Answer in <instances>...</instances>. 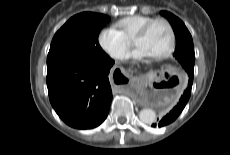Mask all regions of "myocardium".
Here are the masks:
<instances>
[{
    "label": "myocardium",
    "instance_id": "f54148a6",
    "mask_svg": "<svg viewBox=\"0 0 230 155\" xmlns=\"http://www.w3.org/2000/svg\"><path fill=\"white\" fill-rule=\"evenodd\" d=\"M159 22L164 23L168 27L170 32V42L167 49L164 52L152 57L155 60L165 59L169 57L174 51L176 45V32L172 23L166 18H155L150 22H148L147 24H145L133 38V43H134L136 40L145 37L150 31V29L153 27V25Z\"/></svg>",
    "mask_w": 230,
    "mask_h": 155
}]
</instances>
